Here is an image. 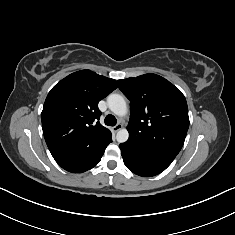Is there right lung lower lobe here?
Returning <instances> with one entry per match:
<instances>
[{
	"instance_id": "1",
	"label": "right lung lower lobe",
	"mask_w": 235,
	"mask_h": 235,
	"mask_svg": "<svg viewBox=\"0 0 235 235\" xmlns=\"http://www.w3.org/2000/svg\"><path fill=\"white\" fill-rule=\"evenodd\" d=\"M111 142L112 136L108 140H106L100 148L96 149L95 151L85 152L75 158L57 161V163L63 169L72 173L85 172L87 170H90L100 162L107 145Z\"/></svg>"
}]
</instances>
